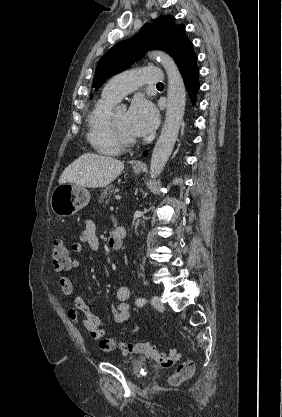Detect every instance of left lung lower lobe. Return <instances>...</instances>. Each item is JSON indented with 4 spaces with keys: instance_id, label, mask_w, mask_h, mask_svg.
Instances as JSON below:
<instances>
[{
    "instance_id": "1",
    "label": "left lung lower lobe",
    "mask_w": 282,
    "mask_h": 417,
    "mask_svg": "<svg viewBox=\"0 0 282 417\" xmlns=\"http://www.w3.org/2000/svg\"><path fill=\"white\" fill-rule=\"evenodd\" d=\"M174 60L183 76L192 104H195L196 93L199 90V70L196 64L197 56L193 51L192 43L189 42L185 47L181 48L176 53ZM144 155H147V151H145Z\"/></svg>"
}]
</instances>
